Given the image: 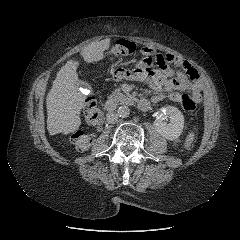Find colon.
Masks as SVG:
<instances>
[{
    "instance_id": "1",
    "label": "colon",
    "mask_w": 240,
    "mask_h": 240,
    "mask_svg": "<svg viewBox=\"0 0 240 240\" xmlns=\"http://www.w3.org/2000/svg\"><path fill=\"white\" fill-rule=\"evenodd\" d=\"M135 50L136 45L134 42L127 39H120L112 45L109 53L115 56H127L134 53ZM180 103L183 110L187 113H193L196 109V101L187 94L180 95ZM84 113L92 126L98 127L100 125L102 121V111L93 99H88ZM70 141L77 150L86 151L93 142V135L82 130L73 131L70 134Z\"/></svg>"
}]
</instances>
